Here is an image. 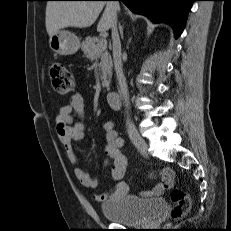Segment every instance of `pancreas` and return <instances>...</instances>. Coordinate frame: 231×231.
<instances>
[{
  "label": "pancreas",
  "mask_w": 231,
  "mask_h": 231,
  "mask_svg": "<svg viewBox=\"0 0 231 231\" xmlns=\"http://www.w3.org/2000/svg\"><path fill=\"white\" fill-rule=\"evenodd\" d=\"M99 40L95 37H86L81 44V49L89 60L100 59L99 68L101 70L102 86L109 88L112 76V60L106 48L98 47Z\"/></svg>",
  "instance_id": "pancreas-1"
}]
</instances>
